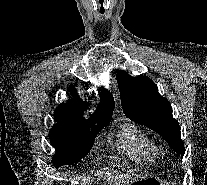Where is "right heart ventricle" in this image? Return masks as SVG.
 Segmentation results:
<instances>
[{
  "instance_id": "e07e8e85",
  "label": "right heart ventricle",
  "mask_w": 207,
  "mask_h": 185,
  "mask_svg": "<svg viewBox=\"0 0 207 185\" xmlns=\"http://www.w3.org/2000/svg\"><path fill=\"white\" fill-rule=\"evenodd\" d=\"M120 142L123 148L132 153L138 160L150 161L157 151L152 140L132 124H127L121 131Z\"/></svg>"
}]
</instances>
